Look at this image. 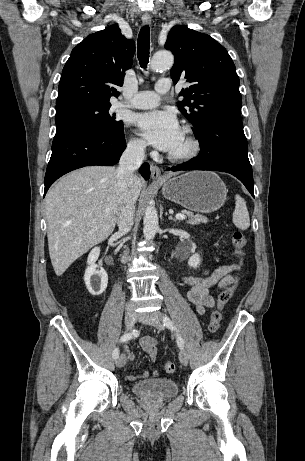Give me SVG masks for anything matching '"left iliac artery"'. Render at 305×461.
Here are the masks:
<instances>
[{"mask_svg": "<svg viewBox=\"0 0 305 461\" xmlns=\"http://www.w3.org/2000/svg\"><path fill=\"white\" fill-rule=\"evenodd\" d=\"M163 324L164 326H166L167 328H169L171 331H174L176 333V337H177V344L179 346L180 349H183L184 348V341L183 339L181 338V336L178 334V331H177V328L176 326L174 325V323L170 320L169 317L165 316L163 318Z\"/></svg>", "mask_w": 305, "mask_h": 461, "instance_id": "44dca946", "label": "left iliac artery"}]
</instances>
